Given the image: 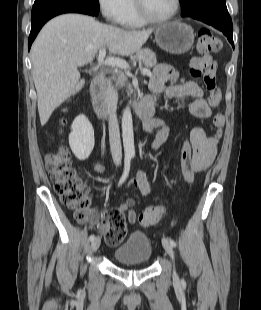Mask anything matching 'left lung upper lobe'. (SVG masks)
<instances>
[{"label": "left lung upper lobe", "instance_id": "1", "mask_svg": "<svg viewBox=\"0 0 261 310\" xmlns=\"http://www.w3.org/2000/svg\"><path fill=\"white\" fill-rule=\"evenodd\" d=\"M183 17H191L203 13L226 0H179Z\"/></svg>", "mask_w": 261, "mask_h": 310}]
</instances>
